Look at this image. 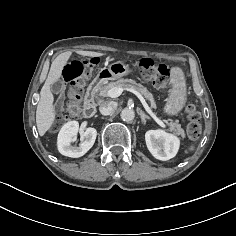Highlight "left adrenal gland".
<instances>
[{
	"instance_id": "a2214340",
	"label": "left adrenal gland",
	"mask_w": 236,
	"mask_h": 236,
	"mask_svg": "<svg viewBox=\"0 0 236 236\" xmlns=\"http://www.w3.org/2000/svg\"><path fill=\"white\" fill-rule=\"evenodd\" d=\"M139 115L141 117L142 124H146V120H150V117L146 115L142 110H140Z\"/></svg>"
}]
</instances>
